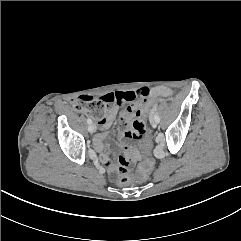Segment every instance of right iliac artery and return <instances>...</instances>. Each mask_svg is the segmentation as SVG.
<instances>
[{
    "instance_id": "obj_1",
    "label": "right iliac artery",
    "mask_w": 241,
    "mask_h": 241,
    "mask_svg": "<svg viewBox=\"0 0 241 241\" xmlns=\"http://www.w3.org/2000/svg\"><path fill=\"white\" fill-rule=\"evenodd\" d=\"M87 123H88V124H92V120L88 118V119H87Z\"/></svg>"
}]
</instances>
